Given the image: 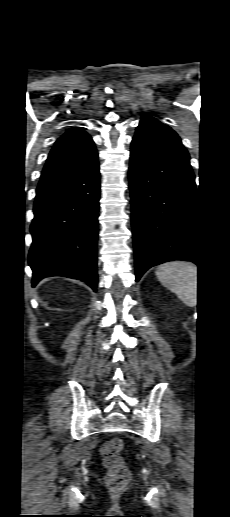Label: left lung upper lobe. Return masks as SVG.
Wrapping results in <instances>:
<instances>
[{"mask_svg":"<svg viewBox=\"0 0 230 517\" xmlns=\"http://www.w3.org/2000/svg\"><path fill=\"white\" fill-rule=\"evenodd\" d=\"M132 144L144 150L171 156L186 162L190 160L189 154L176 132L148 115L141 118Z\"/></svg>","mask_w":230,"mask_h":517,"instance_id":"5c2ea615","label":"left lung upper lobe"}]
</instances>
